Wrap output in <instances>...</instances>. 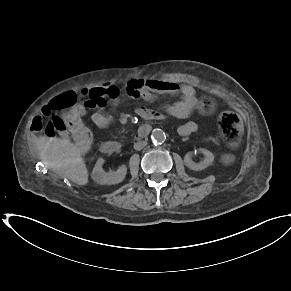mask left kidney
<instances>
[{"label": "left kidney", "instance_id": "1", "mask_svg": "<svg viewBox=\"0 0 291 291\" xmlns=\"http://www.w3.org/2000/svg\"><path fill=\"white\" fill-rule=\"evenodd\" d=\"M199 151L201 153H203L204 156H205V159L203 161L199 162V163H195L191 159V156H192L191 152H188L184 157L185 165L191 170L201 171V170L207 168L208 166H210L212 164L213 160H214V155L209 150L201 148V149H199Z\"/></svg>", "mask_w": 291, "mask_h": 291}]
</instances>
